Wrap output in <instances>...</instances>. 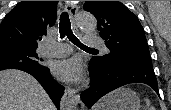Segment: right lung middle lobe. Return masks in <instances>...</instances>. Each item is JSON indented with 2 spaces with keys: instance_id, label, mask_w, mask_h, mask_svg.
Listing matches in <instances>:
<instances>
[{
  "instance_id": "obj_1",
  "label": "right lung middle lobe",
  "mask_w": 171,
  "mask_h": 110,
  "mask_svg": "<svg viewBox=\"0 0 171 110\" xmlns=\"http://www.w3.org/2000/svg\"><path fill=\"white\" fill-rule=\"evenodd\" d=\"M37 48L23 46H0V71L4 69L36 68L45 65L36 53Z\"/></svg>"
}]
</instances>
